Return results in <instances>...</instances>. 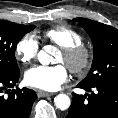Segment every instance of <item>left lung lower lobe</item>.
<instances>
[{
    "label": "left lung lower lobe",
    "instance_id": "1",
    "mask_svg": "<svg viewBox=\"0 0 118 118\" xmlns=\"http://www.w3.org/2000/svg\"><path fill=\"white\" fill-rule=\"evenodd\" d=\"M77 87L91 94L82 96L73 93L66 118H118V80L91 87L79 83ZM92 89L97 91L94 93Z\"/></svg>",
    "mask_w": 118,
    "mask_h": 118
}]
</instances>
